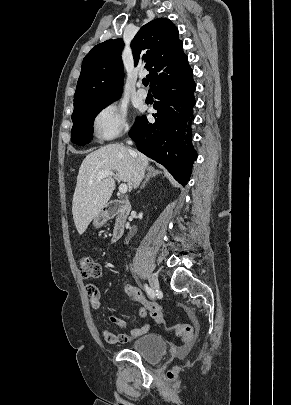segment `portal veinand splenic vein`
<instances>
[{
	"instance_id": "obj_1",
	"label": "portal vein and splenic vein",
	"mask_w": 291,
	"mask_h": 405,
	"mask_svg": "<svg viewBox=\"0 0 291 405\" xmlns=\"http://www.w3.org/2000/svg\"><path fill=\"white\" fill-rule=\"evenodd\" d=\"M112 176L115 177V174L112 171H103V172H100L97 174L98 180H102L106 177H112ZM127 190H128V187L126 184H120V186H119L120 193L125 194L127 192Z\"/></svg>"
}]
</instances>
